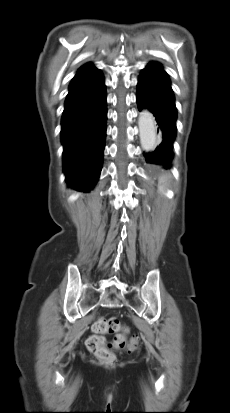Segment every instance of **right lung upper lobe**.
Masks as SVG:
<instances>
[{
	"instance_id": "right-lung-upper-lobe-1",
	"label": "right lung upper lobe",
	"mask_w": 230,
	"mask_h": 413,
	"mask_svg": "<svg viewBox=\"0 0 230 413\" xmlns=\"http://www.w3.org/2000/svg\"><path fill=\"white\" fill-rule=\"evenodd\" d=\"M91 67H93L92 64H91V63H87V64L83 65V66L78 70V72H81V71H83V70H85V69H88V68H91ZM78 72H77V73H78Z\"/></svg>"
}]
</instances>
